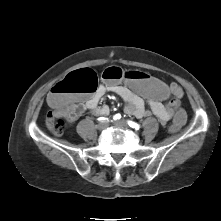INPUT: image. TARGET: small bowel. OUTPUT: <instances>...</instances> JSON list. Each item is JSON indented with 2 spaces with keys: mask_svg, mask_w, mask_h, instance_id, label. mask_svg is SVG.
<instances>
[{
  "mask_svg": "<svg viewBox=\"0 0 221 221\" xmlns=\"http://www.w3.org/2000/svg\"><path fill=\"white\" fill-rule=\"evenodd\" d=\"M170 85L174 87L176 95L172 102L164 104L143 97L132 89H125L122 84H100L95 92L89 95H81L76 99L74 108L68 114V121L76 120L84 111H89L97 116L108 115L109 107L107 105L100 106L99 102L107 93L111 92L125 101V112L127 114L137 118L153 114L162 124H166L173 117L174 109L180 107V100L183 95L182 88L177 83H171Z\"/></svg>",
  "mask_w": 221,
  "mask_h": 221,
  "instance_id": "small-bowel-1",
  "label": "small bowel"
}]
</instances>
